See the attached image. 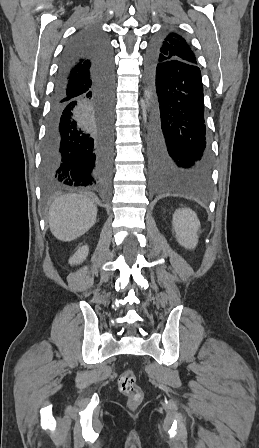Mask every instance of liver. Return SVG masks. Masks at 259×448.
Listing matches in <instances>:
<instances>
[{"instance_id": "1", "label": "liver", "mask_w": 259, "mask_h": 448, "mask_svg": "<svg viewBox=\"0 0 259 448\" xmlns=\"http://www.w3.org/2000/svg\"><path fill=\"white\" fill-rule=\"evenodd\" d=\"M96 216L97 206L90 198L66 194L56 198L49 210L50 230L58 240L71 242L94 226Z\"/></svg>"}]
</instances>
